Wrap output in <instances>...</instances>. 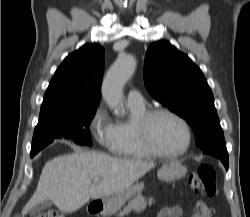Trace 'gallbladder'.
<instances>
[{"label":"gallbladder","mask_w":250,"mask_h":217,"mask_svg":"<svg viewBox=\"0 0 250 217\" xmlns=\"http://www.w3.org/2000/svg\"><path fill=\"white\" fill-rule=\"evenodd\" d=\"M49 207H51V203L49 201L40 203L39 205H37L31 209V214L35 215V214L39 213L40 211L45 210Z\"/></svg>","instance_id":"bac80fb5"}]
</instances>
